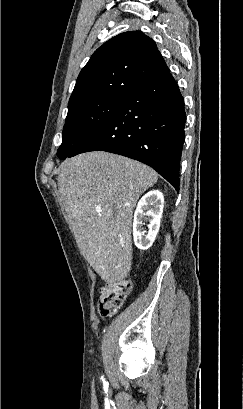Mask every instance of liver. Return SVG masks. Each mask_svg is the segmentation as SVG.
Wrapping results in <instances>:
<instances>
[{"mask_svg": "<svg viewBox=\"0 0 243 409\" xmlns=\"http://www.w3.org/2000/svg\"><path fill=\"white\" fill-rule=\"evenodd\" d=\"M157 178L152 168L104 151L61 163L57 180L69 223L82 255L104 281L130 272L133 209Z\"/></svg>", "mask_w": 243, "mask_h": 409, "instance_id": "liver-1", "label": "liver"}]
</instances>
